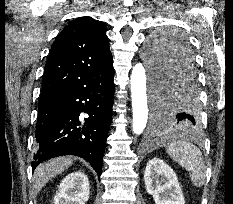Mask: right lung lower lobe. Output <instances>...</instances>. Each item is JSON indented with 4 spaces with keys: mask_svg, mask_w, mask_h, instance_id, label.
I'll return each mask as SVG.
<instances>
[{
    "mask_svg": "<svg viewBox=\"0 0 233 204\" xmlns=\"http://www.w3.org/2000/svg\"><path fill=\"white\" fill-rule=\"evenodd\" d=\"M114 69L90 74L71 88L40 98L38 107L57 114V119L36 136L37 152L32 170L39 163L61 155L86 159L101 175L106 138L112 119L114 102ZM88 113L84 125L79 116Z\"/></svg>",
    "mask_w": 233,
    "mask_h": 204,
    "instance_id": "right-lung-lower-lobe-1",
    "label": "right lung lower lobe"
}]
</instances>
